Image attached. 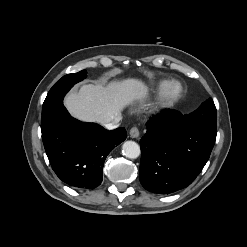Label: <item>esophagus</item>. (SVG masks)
Instances as JSON below:
<instances>
[{
	"mask_svg": "<svg viewBox=\"0 0 247 247\" xmlns=\"http://www.w3.org/2000/svg\"><path fill=\"white\" fill-rule=\"evenodd\" d=\"M129 135L131 138H138L139 137V130L136 127H132L130 129Z\"/></svg>",
	"mask_w": 247,
	"mask_h": 247,
	"instance_id": "esophagus-1",
	"label": "esophagus"
}]
</instances>
